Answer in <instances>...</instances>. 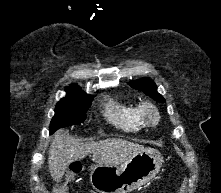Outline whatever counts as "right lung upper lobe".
Instances as JSON below:
<instances>
[{
	"instance_id": "1",
	"label": "right lung upper lobe",
	"mask_w": 221,
	"mask_h": 193,
	"mask_svg": "<svg viewBox=\"0 0 221 193\" xmlns=\"http://www.w3.org/2000/svg\"><path fill=\"white\" fill-rule=\"evenodd\" d=\"M76 88H79V87L76 86V85H74V84H72L70 87H67L66 90H67V89H76Z\"/></svg>"
}]
</instances>
